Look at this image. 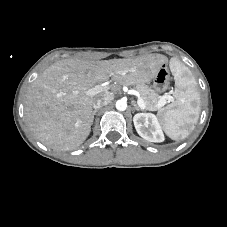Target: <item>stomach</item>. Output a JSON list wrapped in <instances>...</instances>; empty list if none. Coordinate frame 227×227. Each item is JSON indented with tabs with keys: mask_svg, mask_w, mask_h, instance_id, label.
I'll return each mask as SVG.
<instances>
[{
	"mask_svg": "<svg viewBox=\"0 0 227 227\" xmlns=\"http://www.w3.org/2000/svg\"><path fill=\"white\" fill-rule=\"evenodd\" d=\"M167 65L168 61L164 60L163 63L160 64V70L153 78V88L158 93L165 92L170 85V74L168 69L166 68Z\"/></svg>",
	"mask_w": 227,
	"mask_h": 227,
	"instance_id": "1",
	"label": "stomach"
}]
</instances>
